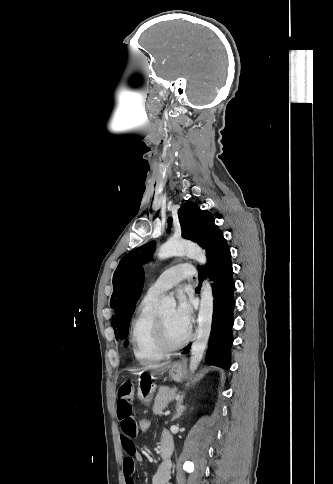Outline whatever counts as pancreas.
Segmentation results:
<instances>
[{"label": "pancreas", "instance_id": "cf45deb5", "mask_svg": "<svg viewBox=\"0 0 333 484\" xmlns=\"http://www.w3.org/2000/svg\"><path fill=\"white\" fill-rule=\"evenodd\" d=\"M176 392V388L169 389L168 387H161L156 395L153 413L155 415H162L163 410L168 406L169 402L173 399Z\"/></svg>", "mask_w": 333, "mask_h": 484}]
</instances>
